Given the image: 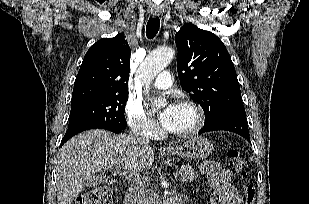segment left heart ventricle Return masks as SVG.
Instances as JSON below:
<instances>
[{
    "instance_id": "1",
    "label": "left heart ventricle",
    "mask_w": 309,
    "mask_h": 204,
    "mask_svg": "<svg viewBox=\"0 0 309 204\" xmlns=\"http://www.w3.org/2000/svg\"><path fill=\"white\" fill-rule=\"evenodd\" d=\"M195 111L187 106L177 105L168 130L173 132L190 129L196 122Z\"/></svg>"
}]
</instances>
